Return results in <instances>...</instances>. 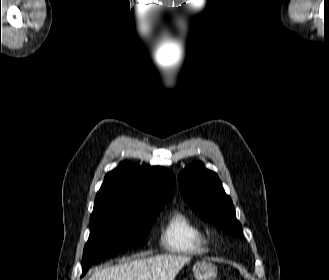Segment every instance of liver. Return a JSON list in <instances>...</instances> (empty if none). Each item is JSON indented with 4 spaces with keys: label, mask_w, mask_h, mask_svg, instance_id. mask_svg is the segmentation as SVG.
<instances>
[{
    "label": "liver",
    "mask_w": 329,
    "mask_h": 280,
    "mask_svg": "<svg viewBox=\"0 0 329 280\" xmlns=\"http://www.w3.org/2000/svg\"><path fill=\"white\" fill-rule=\"evenodd\" d=\"M191 257L158 255L127 259L118 265L97 270L89 280H174Z\"/></svg>",
    "instance_id": "obj_1"
}]
</instances>
